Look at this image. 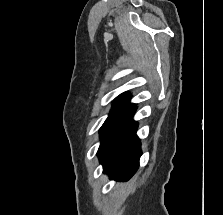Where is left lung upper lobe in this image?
Masks as SVG:
<instances>
[{
	"label": "left lung upper lobe",
	"instance_id": "5c2ea615",
	"mask_svg": "<svg viewBox=\"0 0 223 215\" xmlns=\"http://www.w3.org/2000/svg\"><path fill=\"white\" fill-rule=\"evenodd\" d=\"M129 100L130 95L123 93L114 101L112 111L99 131L101 145L111 130L136 106L131 104Z\"/></svg>",
	"mask_w": 223,
	"mask_h": 215
}]
</instances>
